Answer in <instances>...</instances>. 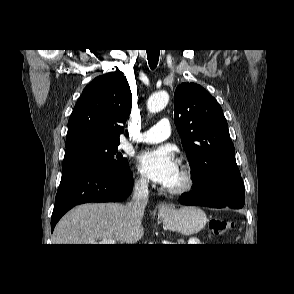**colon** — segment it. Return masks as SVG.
I'll list each match as a JSON object with an SVG mask.
<instances>
[{
	"label": "colon",
	"instance_id": "5ec220e1",
	"mask_svg": "<svg viewBox=\"0 0 294 294\" xmlns=\"http://www.w3.org/2000/svg\"><path fill=\"white\" fill-rule=\"evenodd\" d=\"M234 224L223 219H212L208 224L209 231L214 235H220L233 228Z\"/></svg>",
	"mask_w": 294,
	"mask_h": 294
}]
</instances>
